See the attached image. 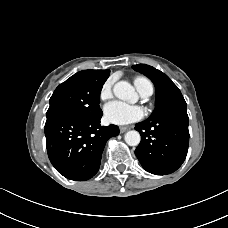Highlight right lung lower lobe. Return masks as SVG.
I'll return each instance as SVG.
<instances>
[{"label":"right lung lower lobe","mask_w":228,"mask_h":228,"mask_svg":"<svg viewBox=\"0 0 228 228\" xmlns=\"http://www.w3.org/2000/svg\"><path fill=\"white\" fill-rule=\"evenodd\" d=\"M103 113L93 117L62 116L46 121L45 136L49 159L68 179L92 178L100 167L107 140L119 134L115 125H100Z\"/></svg>","instance_id":"right-lung-lower-lobe-1"}]
</instances>
